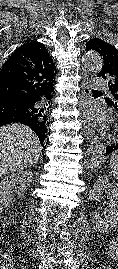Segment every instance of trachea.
Listing matches in <instances>:
<instances>
[{
    "instance_id": "trachea-1",
    "label": "trachea",
    "mask_w": 118,
    "mask_h": 269,
    "mask_svg": "<svg viewBox=\"0 0 118 269\" xmlns=\"http://www.w3.org/2000/svg\"><path fill=\"white\" fill-rule=\"evenodd\" d=\"M92 92H98L97 90H92Z\"/></svg>"
}]
</instances>
